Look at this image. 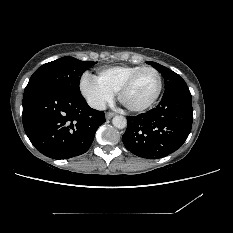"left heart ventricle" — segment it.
Wrapping results in <instances>:
<instances>
[{
    "label": "left heart ventricle",
    "mask_w": 233,
    "mask_h": 233,
    "mask_svg": "<svg viewBox=\"0 0 233 233\" xmlns=\"http://www.w3.org/2000/svg\"><path fill=\"white\" fill-rule=\"evenodd\" d=\"M157 75L153 71H146L138 77L133 86L125 93L124 103L128 106H141L155 95L157 90Z\"/></svg>",
    "instance_id": "left-heart-ventricle-1"
}]
</instances>
